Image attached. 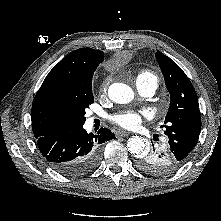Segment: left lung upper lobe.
<instances>
[{
  "instance_id": "left-lung-upper-lobe-1",
  "label": "left lung upper lobe",
  "mask_w": 221,
  "mask_h": 221,
  "mask_svg": "<svg viewBox=\"0 0 221 221\" xmlns=\"http://www.w3.org/2000/svg\"><path fill=\"white\" fill-rule=\"evenodd\" d=\"M155 56L170 93V107L161 128L168 137L167 144L172 153L185 162L198 142L201 129L197 94L189 78L173 60L160 51Z\"/></svg>"
}]
</instances>
